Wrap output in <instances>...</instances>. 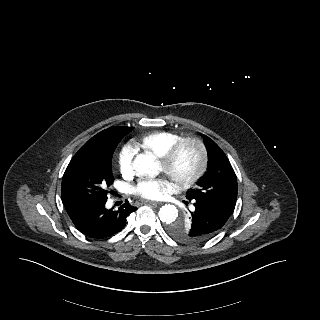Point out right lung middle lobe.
<instances>
[{
    "instance_id": "right-lung-middle-lobe-1",
    "label": "right lung middle lobe",
    "mask_w": 320,
    "mask_h": 320,
    "mask_svg": "<svg viewBox=\"0 0 320 320\" xmlns=\"http://www.w3.org/2000/svg\"><path fill=\"white\" fill-rule=\"evenodd\" d=\"M122 137H92L74 155L62 179V202L107 200L112 185L111 161Z\"/></svg>"
}]
</instances>
